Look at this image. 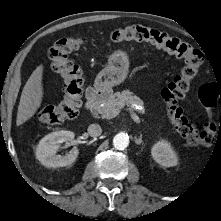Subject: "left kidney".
<instances>
[{
    "label": "left kidney",
    "instance_id": "left-kidney-1",
    "mask_svg": "<svg viewBox=\"0 0 221 221\" xmlns=\"http://www.w3.org/2000/svg\"><path fill=\"white\" fill-rule=\"evenodd\" d=\"M153 159L164 167L176 166L178 164V156L174 151L171 143L165 139L156 142L151 148Z\"/></svg>",
    "mask_w": 221,
    "mask_h": 221
}]
</instances>
